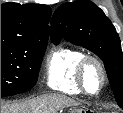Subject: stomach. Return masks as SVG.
Segmentation results:
<instances>
[{"instance_id":"obj_1","label":"stomach","mask_w":123,"mask_h":113,"mask_svg":"<svg viewBox=\"0 0 123 113\" xmlns=\"http://www.w3.org/2000/svg\"><path fill=\"white\" fill-rule=\"evenodd\" d=\"M86 110L81 108H72L69 113H84Z\"/></svg>"}]
</instances>
